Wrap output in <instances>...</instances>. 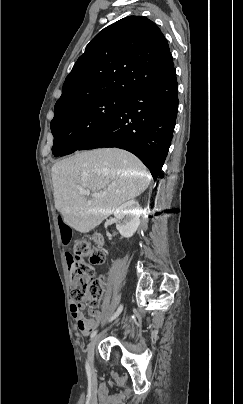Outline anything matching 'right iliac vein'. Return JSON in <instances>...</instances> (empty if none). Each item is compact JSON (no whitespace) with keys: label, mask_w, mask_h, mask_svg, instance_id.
Masks as SVG:
<instances>
[{"label":"right iliac vein","mask_w":243,"mask_h":404,"mask_svg":"<svg viewBox=\"0 0 243 404\" xmlns=\"http://www.w3.org/2000/svg\"><path fill=\"white\" fill-rule=\"evenodd\" d=\"M117 321H118V320H116V322H117ZM105 331H106V330H105ZM105 331H103V333H104ZM103 333H102V334H103ZM102 334L95 336V337L91 340V342L89 343V345H88L87 359H88V362H89L91 368H93L95 346H96L97 342L99 341V338H100V336H101Z\"/></svg>","instance_id":"right-iliac-vein-1"}]
</instances>
